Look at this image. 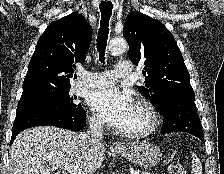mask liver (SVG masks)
Segmentation results:
<instances>
[{"instance_id":"1","label":"liver","mask_w":224,"mask_h":174,"mask_svg":"<svg viewBox=\"0 0 224 174\" xmlns=\"http://www.w3.org/2000/svg\"><path fill=\"white\" fill-rule=\"evenodd\" d=\"M104 157L103 144L91 147L81 134L39 126L26 129L15 138L10 150L9 174H51L59 168L57 163L77 166L83 174H91L101 167Z\"/></svg>"}]
</instances>
